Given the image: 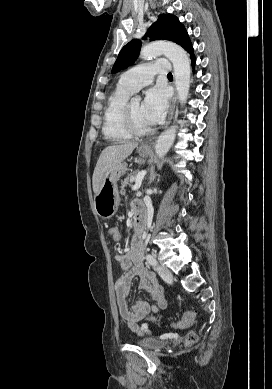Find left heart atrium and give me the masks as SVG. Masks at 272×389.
I'll use <instances>...</instances> for the list:
<instances>
[{
  "label": "left heart atrium",
  "mask_w": 272,
  "mask_h": 389,
  "mask_svg": "<svg viewBox=\"0 0 272 389\" xmlns=\"http://www.w3.org/2000/svg\"><path fill=\"white\" fill-rule=\"evenodd\" d=\"M167 108V95L163 88L153 87L147 91L142 103V112L150 125L161 121L166 114Z\"/></svg>",
  "instance_id": "39dd6f15"
}]
</instances>
